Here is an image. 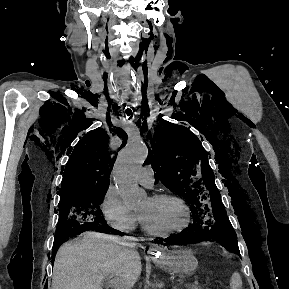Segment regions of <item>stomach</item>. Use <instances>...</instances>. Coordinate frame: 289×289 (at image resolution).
Instances as JSON below:
<instances>
[{"label":"stomach","instance_id":"1","mask_svg":"<svg viewBox=\"0 0 289 289\" xmlns=\"http://www.w3.org/2000/svg\"><path fill=\"white\" fill-rule=\"evenodd\" d=\"M167 267L179 275H192L198 266V261L192 250L184 248L165 256Z\"/></svg>","mask_w":289,"mask_h":289}]
</instances>
